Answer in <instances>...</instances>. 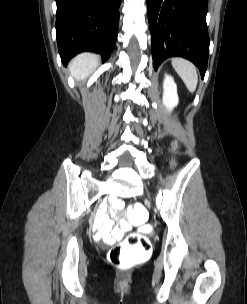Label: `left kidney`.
I'll return each mask as SVG.
<instances>
[{"label": "left kidney", "mask_w": 247, "mask_h": 304, "mask_svg": "<svg viewBox=\"0 0 247 304\" xmlns=\"http://www.w3.org/2000/svg\"><path fill=\"white\" fill-rule=\"evenodd\" d=\"M163 90V104L168 110H172L177 106L179 98L176 83L170 75H165Z\"/></svg>", "instance_id": "left-kidney-1"}]
</instances>
